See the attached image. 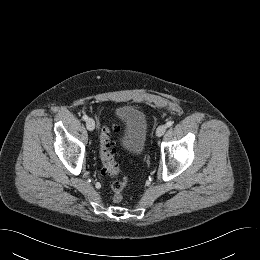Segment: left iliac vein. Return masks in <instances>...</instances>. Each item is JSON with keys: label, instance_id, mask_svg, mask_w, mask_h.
<instances>
[{"label": "left iliac vein", "instance_id": "1", "mask_svg": "<svg viewBox=\"0 0 260 260\" xmlns=\"http://www.w3.org/2000/svg\"><path fill=\"white\" fill-rule=\"evenodd\" d=\"M166 128L167 127L165 125H160L156 130V136L161 137L165 133Z\"/></svg>", "mask_w": 260, "mask_h": 260}]
</instances>
